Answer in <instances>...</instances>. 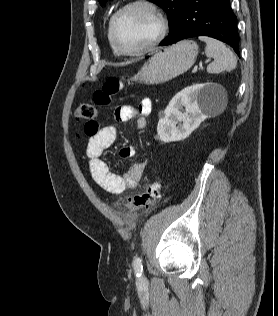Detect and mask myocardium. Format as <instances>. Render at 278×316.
Listing matches in <instances>:
<instances>
[{
  "label": "myocardium",
  "mask_w": 278,
  "mask_h": 316,
  "mask_svg": "<svg viewBox=\"0 0 278 316\" xmlns=\"http://www.w3.org/2000/svg\"><path fill=\"white\" fill-rule=\"evenodd\" d=\"M134 7H144L148 9L155 16L157 20L158 30L155 37L146 45L135 50H127L121 47L117 41L116 23H117L118 18L125 11ZM167 30H168V22L165 15L161 11V9L154 2L150 0H133L124 4L113 14L109 23L110 39H111L113 47L116 49V51L119 54L126 55V56H138L153 49L156 45H158L163 40V38L165 37L167 33Z\"/></svg>",
  "instance_id": "myocardium-1"
}]
</instances>
